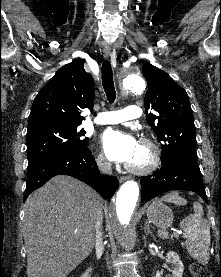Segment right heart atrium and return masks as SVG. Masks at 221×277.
<instances>
[{"instance_id": "d8ad5b80", "label": "right heart atrium", "mask_w": 221, "mask_h": 277, "mask_svg": "<svg viewBox=\"0 0 221 277\" xmlns=\"http://www.w3.org/2000/svg\"><path fill=\"white\" fill-rule=\"evenodd\" d=\"M97 164L103 170H107L110 167V164L107 161V159H106V157L104 156L103 153H99L98 154V156H97Z\"/></svg>"}]
</instances>
